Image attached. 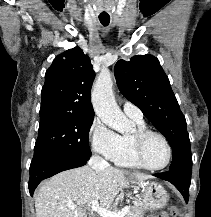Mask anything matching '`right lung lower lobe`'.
Returning <instances> with one entry per match:
<instances>
[{"label":"right lung lower lobe","mask_w":211,"mask_h":217,"mask_svg":"<svg viewBox=\"0 0 211 217\" xmlns=\"http://www.w3.org/2000/svg\"><path fill=\"white\" fill-rule=\"evenodd\" d=\"M88 160L61 156V155H41L34 157L30 165L29 191L31 196L38 184L59 172L81 167Z\"/></svg>","instance_id":"1"}]
</instances>
